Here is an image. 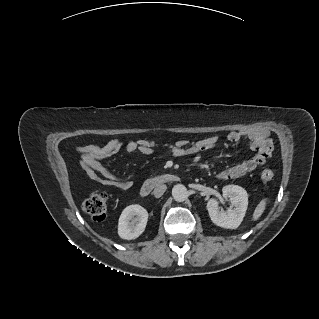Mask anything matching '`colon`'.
Returning a JSON list of instances; mask_svg holds the SVG:
<instances>
[{"label":"colon","mask_w":319,"mask_h":319,"mask_svg":"<svg viewBox=\"0 0 319 319\" xmlns=\"http://www.w3.org/2000/svg\"><path fill=\"white\" fill-rule=\"evenodd\" d=\"M273 145L270 140H264L262 144L257 147L265 157H270L272 154ZM261 178L266 181L274 179V173L270 169H265L261 173ZM108 196L104 192H98L88 197L83 202V210L94 220H103L106 216Z\"/></svg>","instance_id":"obj_1"}]
</instances>
